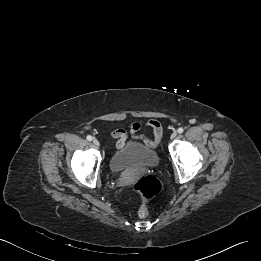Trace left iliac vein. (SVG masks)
I'll list each match as a JSON object with an SVG mask.
<instances>
[{
  "instance_id": "1",
  "label": "left iliac vein",
  "mask_w": 261,
  "mask_h": 261,
  "mask_svg": "<svg viewBox=\"0 0 261 261\" xmlns=\"http://www.w3.org/2000/svg\"><path fill=\"white\" fill-rule=\"evenodd\" d=\"M176 136H177V133H176V132H173V133L171 134V139H174Z\"/></svg>"
}]
</instances>
